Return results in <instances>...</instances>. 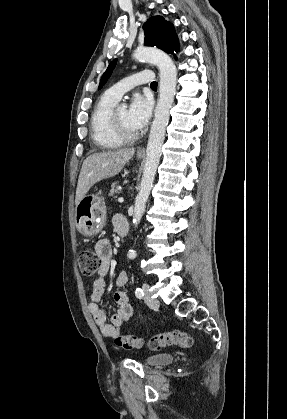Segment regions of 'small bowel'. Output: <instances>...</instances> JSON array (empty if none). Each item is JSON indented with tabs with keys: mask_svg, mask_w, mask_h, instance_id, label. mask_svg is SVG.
Returning a JSON list of instances; mask_svg holds the SVG:
<instances>
[{
	"mask_svg": "<svg viewBox=\"0 0 287 419\" xmlns=\"http://www.w3.org/2000/svg\"><path fill=\"white\" fill-rule=\"evenodd\" d=\"M127 224V221L122 216H116L113 219V224L117 230L121 224ZM95 251L101 258V267L98 272V277L93 283L91 294V301L88 305L89 311L94 318V321L100 328L103 335L116 338L120 334L121 327L134 314V308L130 303L129 296L124 291H117L114 294V300L118 305L117 311L113 314L109 322L105 311L100 307L99 303L103 299L106 292L105 275L107 274L112 257V249L110 242L107 239L98 241L95 245ZM128 273L122 271L118 274L116 284L124 286L128 282Z\"/></svg>",
	"mask_w": 287,
	"mask_h": 419,
	"instance_id": "1",
	"label": "small bowel"
}]
</instances>
